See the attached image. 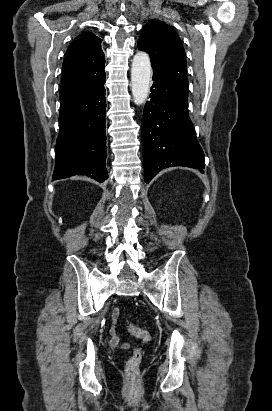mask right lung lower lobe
<instances>
[{
	"label": "right lung lower lobe",
	"instance_id": "obj_1",
	"mask_svg": "<svg viewBox=\"0 0 272 411\" xmlns=\"http://www.w3.org/2000/svg\"><path fill=\"white\" fill-rule=\"evenodd\" d=\"M104 83L61 100L53 180L86 175L101 183L108 178Z\"/></svg>",
	"mask_w": 272,
	"mask_h": 411
}]
</instances>
